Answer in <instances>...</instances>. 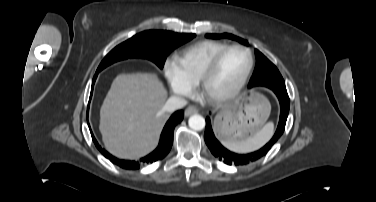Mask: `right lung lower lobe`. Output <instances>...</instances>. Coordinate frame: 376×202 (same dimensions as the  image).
Masks as SVG:
<instances>
[{"mask_svg": "<svg viewBox=\"0 0 376 202\" xmlns=\"http://www.w3.org/2000/svg\"><path fill=\"white\" fill-rule=\"evenodd\" d=\"M96 77H94L93 86L95 82ZM92 86V90H93ZM184 113L182 110L176 111L170 119L167 121L160 137V142L158 147L149 155L141 159V162L143 163H153L157 160L163 159L170 151L173 143V130L175 126L180 123L183 119ZM90 127V126H89ZM92 134V132H91ZM93 141L98 148V150L106 157L108 158L112 163L124 168V169H138L139 168V162L137 161H131V160H122L117 159L116 157L112 156L110 153H108L105 149H102L99 144L97 143L96 139L94 138L92 134Z\"/></svg>", "mask_w": 376, "mask_h": 202, "instance_id": "98d812e1", "label": "right lung lower lobe"}]
</instances>
